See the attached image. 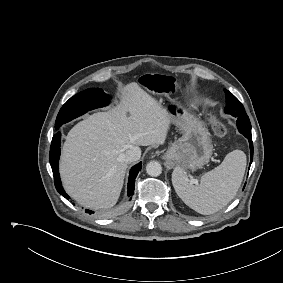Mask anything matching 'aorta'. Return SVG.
Masks as SVG:
<instances>
[{
  "instance_id": "aorta-1",
  "label": "aorta",
  "mask_w": 283,
  "mask_h": 283,
  "mask_svg": "<svg viewBox=\"0 0 283 283\" xmlns=\"http://www.w3.org/2000/svg\"><path fill=\"white\" fill-rule=\"evenodd\" d=\"M146 172L150 176H159L162 173V166L157 161H151L146 166Z\"/></svg>"
}]
</instances>
